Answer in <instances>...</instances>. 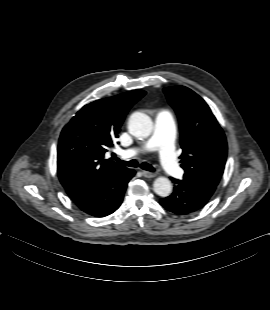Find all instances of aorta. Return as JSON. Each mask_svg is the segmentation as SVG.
I'll use <instances>...</instances> for the list:
<instances>
[{"label": "aorta", "mask_w": 270, "mask_h": 310, "mask_svg": "<svg viewBox=\"0 0 270 310\" xmlns=\"http://www.w3.org/2000/svg\"><path fill=\"white\" fill-rule=\"evenodd\" d=\"M129 129L140 138H147L152 133L153 122L151 118L142 112H134L128 121ZM154 192L161 196L167 197L172 192V184L166 177H158L153 183Z\"/></svg>", "instance_id": "aorta-1"}]
</instances>
